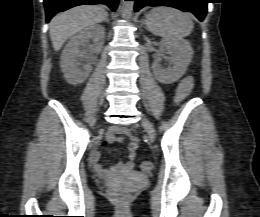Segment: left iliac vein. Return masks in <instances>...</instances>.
<instances>
[{
    "label": "left iliac vein",
    "instance_id": "obj_1",
    "mask_svg": "<svg viewBox=\"0 0 260 217\" xmlns=\"http://www.w3.org/2000/svg\"><path fill=\"white\" fill-rule=\"evenodd\" d=\"M141 123L144 129L146 130L147 134L149 135V137L151 139H154L155 132L152 123L145 116H142Z\"/></svg>",
    "mask_w": 260,
    "mask_h": 217
}]
</instances>
